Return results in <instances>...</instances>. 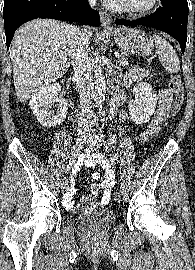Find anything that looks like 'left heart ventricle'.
<instances>
[{
	"instance_id": "b2bd125f",
	"label": "left heart ventricle",
	"mask_w": 195,
	"mask_h": 270,
	"mask_svg": "<svg viewBox=\"0 0 195 270\" xmlns=\"http://www.w3.org/2000/svg\"><path fill=\"white\" fill-rule=\"evenodd\" d=\"M128 4L134 6V7H145L147 6L151 0H125Z\"/></svg>"
}]
</instances>
